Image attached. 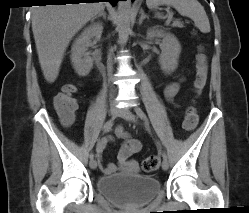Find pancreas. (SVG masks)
I'll use <instances>...</instances> for the list:
<instances>
[{"instance_id":"obj_1","label":"pancreas","mask_w":249,"mask_h":213,"mask_svg":"<svg viewBox=\"0 0 249 213\" xmlns=\"http://www.w3.org/2000/svg\"><path fill=\"white\" fill-rule=\"evenodd\" d=\"M172 27H179L182 28L183 27V23L180 21H174L171 25Z\"/></svg>"}]
</instances>
